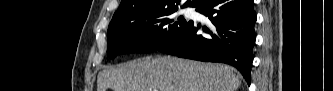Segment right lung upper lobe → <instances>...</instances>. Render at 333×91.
<instances>
[{"label": "right lung upper lobe", "mask_w": 333, "mask_h": 91, "mask_svg": "<svg viewBox=\"0 0 333 91\" xmlns=\"http://www.w3.org/2000/svg\"><path fill=\"white\" fill-rule=\"evenodd\" d=\"M204 0H187L182 7H198ZM180 0H122L110 23L124 22L158 12L177 10Z\"/></svg>", "instance_id": "1"}]
</instances>
